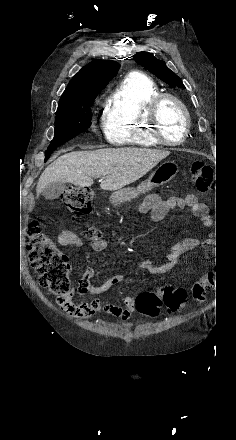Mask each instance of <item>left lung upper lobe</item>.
<instances>
[{
    "label": "left lung upper lobe",
    "mask_w": 236,
    "mask_h": 440,
    "mask_svg": "<svg viewBox=\"0 0 236 440\" xmlns=\"http://www.w3.org/2000/svg\"><path fill=\"white\" fill-rule=\"evenodd\" d=\"M133 57L137 63L145 67L148 71L169 84L171 87L185 88L181 79L166 66L164 61L156 59L148 52H139Z\"/></svg>",
    "instance_id": "1"
}]
</instances>
